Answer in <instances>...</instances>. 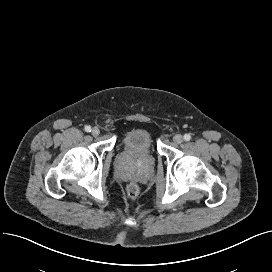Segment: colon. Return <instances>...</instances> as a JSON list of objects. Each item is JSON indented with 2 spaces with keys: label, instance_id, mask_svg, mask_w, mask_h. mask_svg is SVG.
I'll use <instances>...</instances> for the list:
<instances>
[{
  "label": "colon",
  "instance_id": "obj_1",
  "mask_svg": "<svg viewBox=\"0 0 272 272\" xmlns=\"http://www.w3.org/2000/svg\"><path fill=\"white\" fill-rule=\"evenodd\" d=\"M126 190H127L128 196L132 197V198L136 197L139 194V192H140L139 186L137 184H135V183L129 184L127 186Z\"/></svg>",
  "mask_w": 272,
  "mask_h": 272
}]
</instances>
